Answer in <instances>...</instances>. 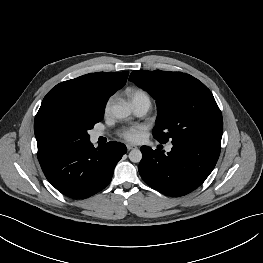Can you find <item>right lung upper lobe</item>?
<instances>
[{
  "instance_id": "cb5924a9",
  "label": "right lung upper lobe",
  "mask_w": 263,
  "mask_h": 263,
  "mask_svg": "<svg viewBox=\"0 0 263 263\" xmlns=\"http://www.w3.org/2000/svg\"><path fill=\"white\" fill-rule=\"evenodd\" d=\"M129 72L91 73L64 81L44 97L35 122L50 111L73 110L83 106H104L127 80ZM34 122V124H35Z\"/></svg>"
}]
</instances>
